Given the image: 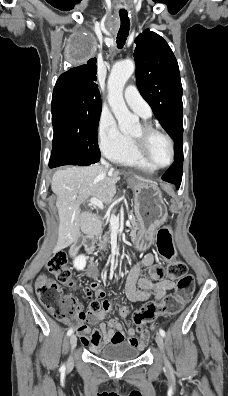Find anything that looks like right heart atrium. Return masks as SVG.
Wrapping results in <instances>:
<instances>
[{"label": "right heart atrium", "instance_id": "right-heart-atrium-1", "mask_svg": "<svg viewBox=\"0 0 228 396\" xmlns=\"http://www.w3.org/2000/svg\"><path fill=\"white\" fill-rule=\"evenodd\" d=\"M97 140L101 151L113 161L118 160L130 146V138L120 132L113 117L104 110L98 119Z\"/></svg>", "mask_w": 228, "mask_h": 396}]
</instances>
